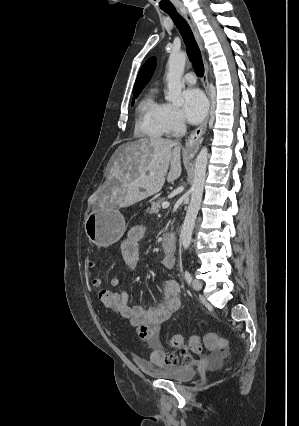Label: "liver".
Here are the masks:
<instances>
[{
    "instance_id": "6515ba94",
    "label": "liver",
    "mask_w": 299,
    "mask_h": 426,
    "mask_svg": "<svg viewBox=\"0 0 299 426\" xmlns=\"http://www.w3.org/2000/svg\"><path fill=\"white\" fill-rule=\"evenodd\" d=\"M114 158L107 191L111 203L123 207L158 193L165 180L173 182L182 171L181 146L161 137L121 145Z\"/></svg>"
}]
</instances>
